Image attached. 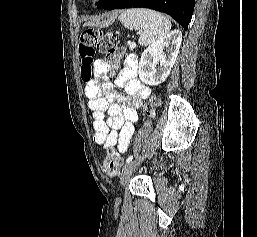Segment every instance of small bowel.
Returning <instances> with one entry per match:
<instances>
[{
    "mask_svg": "<svg viewBox=\"0 0 257 237\" xmlns=\"http://www.w3.org/2000/svg\"><path fill=\"white\" fill-rule=\"evenodd\" d=\"M96 77L85 87L88 106L92 111L94 141L105 149L117 146L125 153L134 133V123L138 119L137 110L150 94L147 87L137 79L136 60L130 56L116 85L124 89L123 93L114 90L106 73L109 65L102 59L94 64Z\"/></svg>",
    "mask_w": 257,
    "mask_h": 237,
    "instance_id": "c3829d8e",
    "label": "small bowel"
}]
</instances>
